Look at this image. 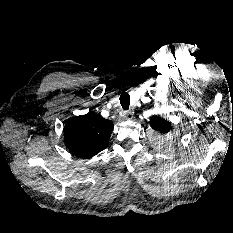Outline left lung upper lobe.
Masks as SVG:
<instances>
[{
    "instance_id": "left-lung-upper-lobe-1",
    "label": "left lung upper lobe",
    "mask_w": 233,
    "mask_h": 233,
    "mask_svg": "<svg viewBox=\"0 0 233 233\" xmlns=\"http://www.w3.org/2000/svg\"><path fill=\"white\" fill-rule=\"evenodd\" d=\"M149 123L154 130L161 134H166L171 129V123L163 118H160L159 116H153Z\"/></svg>"
}]
</instances>
